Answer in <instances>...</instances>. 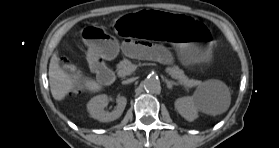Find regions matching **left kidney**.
<instances>
[{
  "label": "left kidney",
  "instance_id": "obj_1",
  "mask_svg": "<svg viewBox=\"0 0 279 148\" xmlns=\"http://www.w3.org/2000/svg\"><path fill=\"white\" fill-rule=\"evenodd\" d=\"M175 108L187 121H193L198 117L199 110H205V104L202 100L187 96L177 99Z\"/></svg>",
  "mask_w": 279,
  "mask_h": 148
}]
</instances>
